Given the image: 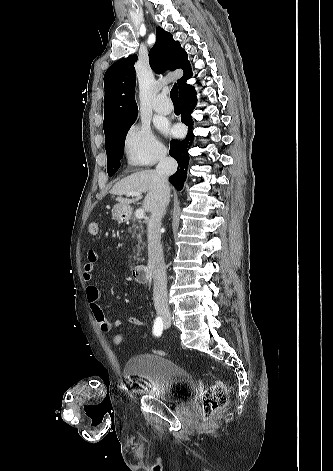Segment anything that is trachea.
I'll return each mask as SVG.
<instances>
[{
  "label": "trachea",
  "instance_id": "obj_1",
  "mask_svg": "<svg viewBox=\"0 0 333 471\" xmlns=\"http://www.w3.org/2000/svg\"><path fill=\"white\" fill-rule=\"evenodd\" d=\"M170 97L173 102H179L177 84H175L171 89Z\"/></svg>",
  "mask_w": 333,
  "mask_h": 471
}]
</instances>
